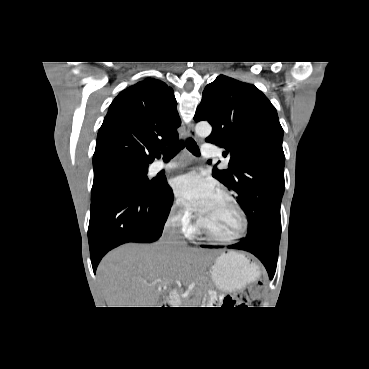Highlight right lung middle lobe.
<instances>
[{"mask_svg":"<svg viewBox=\"0 0 369 369\" xmlns=\"http://www.w3.org/2000/svg\"><path fill=\"white\" fill-rule=\"evenodd\" d=\"M94 181L91 199L113 184L127 181L143 189H153L160 184L159 179L149 180L148 165L127 161H113L93 165Z\"/></svg>","mask_w":369,"mask_h":369,"instance_id":"right-lung-middle-lobe-1","label":"right lung middle lobe"}]
</instances>
